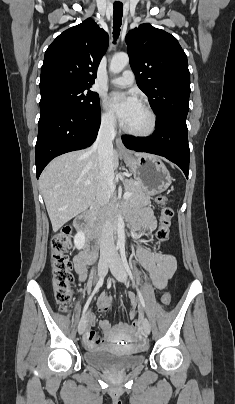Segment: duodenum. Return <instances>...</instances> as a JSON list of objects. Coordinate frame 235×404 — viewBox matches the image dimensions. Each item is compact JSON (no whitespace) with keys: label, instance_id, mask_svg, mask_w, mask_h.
I'll list each match as a JSON object with an SVG mask.
<instances>
[{"label":"duodenum","instance_id":"410a0bca","mask_svg":"<svg viewBox=\"0 0 235 404\" xmlns=\"http://www.w3.org/2000/svg\"><path fill=\"white\" fill-rule=\"evenodd\" d=\"M93 215L94 208H91L87 213L81 215L75 221V226L84 236L85 248L90 254V260L92 262L97 258V251L100 244V236L92 223Z\"/></svg>","mask_w":235,"mask_h":404}]
</instances>
